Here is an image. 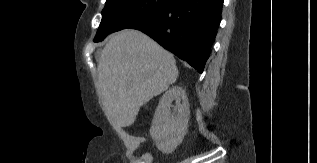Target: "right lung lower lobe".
<instances>
[{
  "label": "right lung lower lobe",
  "mask_w": 317,
  "mask_h": 163,
  "mask_svg": "<svg viewBox=\"0 0 317 163\" xmlns=\"http://www.w3.org/2000/svg\"><path fill=\"white\" fill-rule=\"evenodd\" d=\"M223 1L170 0L129 28L149 35L202 73L217 34Z\"/></svg>",
  "instance_id": "right-lung-lower-lobe-1"
}]
</instances>
